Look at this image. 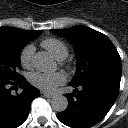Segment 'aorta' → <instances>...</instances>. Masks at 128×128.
Returning <instances> with one entry per match:
<instances>
[{"label":"aorta","mask_w":128,"mask_h":128,"mask_svg":"<svg viewBox=\"0 0 128 128\" xmlns=\"http://www.w3.org/2000/svg\"><path fill=\"white\" fill-rule=\"evenodd\" d=\"M34 66L36 70L44 73H52L57 69L56 61L47 52H39L35 55ZM51 106L53 110L63 112L68 107V100L64 95H55Z\"/></svg>","instance_id":"aorta-1"}]
</instances>
